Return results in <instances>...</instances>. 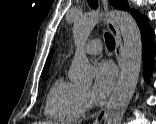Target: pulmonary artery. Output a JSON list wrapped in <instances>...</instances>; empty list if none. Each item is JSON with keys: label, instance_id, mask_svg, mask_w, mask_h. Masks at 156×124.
I'll return each mask as SVG.
<instances>
[{"label": "pulmonary artery", "instance_id": "1", "mask_svg": "<svg viewBox=\"0 0 156 124\" xmlns=\"http://www.w3.org/2000/svg\"><path fill=\"white\" fill-rule=\"evenodd\" d=\"M102 51V43L99 39H93L84 47V52L88 55H99Z\"/></svg>", "mask_w": 156, "mask_h": 124}]
</instances>
